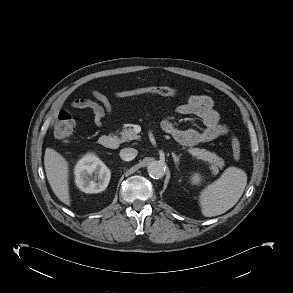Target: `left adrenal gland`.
I'll return each mask as SVG.
<instances>
[{"label":"left adrenal gland","instance_id":"a2214340","mask_svg":"<svg viewBox=\"0 0 293 293\" xmlns=\"http://www.w3.org/2000/svg\"><path fill=\"white\" fill-rule=\"evenodd\" d=\"M171 154H172L174 163H175L176 167L178 168V165L180 163L179 161H180L181 154H179L178 156L174 152H172Z\"/></svg>","mask_w":293,"mask_h":293}]
</instances>
